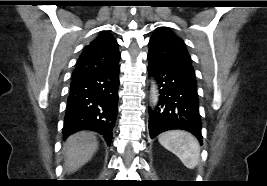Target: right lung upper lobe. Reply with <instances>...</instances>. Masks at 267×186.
Masks as SVG:
<instances>
[{"mask_svg":"<svg viewBox=\"0 0 267 186\" xmlns=\"http://www.w3.org/2000/svg\"><path fill=\"white\" fill-rule=\"evenodd\" d=\"M120 58L117 41L110 33L102 32L83 49L73 76L118 63Z\"/></svg>","mask_w":267,"mask_h":186,"instance_id":"cb5924a9","label":"right lung upper lobe"}]
</instances>
